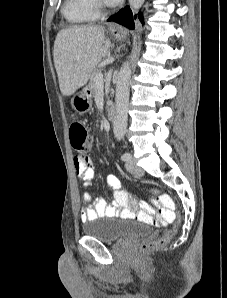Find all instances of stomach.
Masks as SVG:
<instances>
[{"instance_id": "obj_1", "label": "stomach", "mask_w": 227, "mask_h": 298, "mask_svg": "<svg viewBox=\"0 0 227 298\" xmlns=\"http://www.w3.org/2000/svg\"><path fill=\"white\" fill-rule=\"evenodd\" d=\"M116 37L119 40L125 39V35L118 33ZM73 109L79 113L84 114L90 111L92 107V92L89 88L82 89L71 100Z\"/></svg>"}]
</instances>
